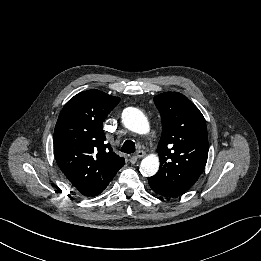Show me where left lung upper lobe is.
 I'll use <instances>...</instances> for the list:
<instances>
[{
  "mask_svg": "<svg viewBox=\"0 0 261 261\" xmlns=\"http://www.w3.org/2000/svg\"><path fill=\"white\" fill-rule=\"evenodd\" d=\"M162 120L157 152L160 169L150 177L169 193H185L203 172L208 157L205 119L184 95L165 92L154 97Z\"/></svg>",
  "mask_w": 261,
  "mask_h": 261,
  "instance_id": "left-lung-upper-lobe-1",
  "label": "left lung upper lobe"
}]
</instances>
